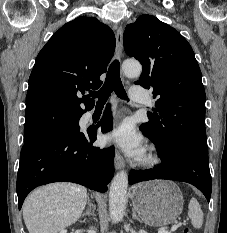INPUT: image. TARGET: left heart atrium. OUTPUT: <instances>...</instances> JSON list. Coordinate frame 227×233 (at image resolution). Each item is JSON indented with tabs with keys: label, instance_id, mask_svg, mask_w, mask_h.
<instances>
[{
	"label": "left heart atrium",
	"instance_id": "39dd6f15",
	"mask_svg": "<svg viewBox=\"0 0 227 233\" xmlns=\"http://www.w3.org/2000/svg\"><path fill=\"white\" fill-rule=\"evenodd\" d=\"M107 141L132 157H140L144 153L143 138L128 120L115 126L107 135Z\"/></svg>",
	"mask_w": 227,
	"mask_h": 233
}]
</instances>
